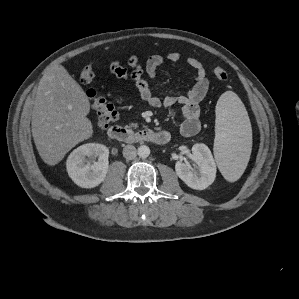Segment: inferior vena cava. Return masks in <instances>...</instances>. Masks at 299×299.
<instances>
[{"label":"inferior vena cava","instance_id":"obj_1","mask_svg":"<svg viewBox=\"0 0 299 299\" xmlns=\"http://www.w3.org/2000/svg\"><path fill=\"white\" fill-rule=\"evenodd\" d=\"M137 155V150L133 145H126L123 148V156L128 159V160H132L136 157Z\"/></svg>","mask_w":299,"mask_h":299}]
</instances>
